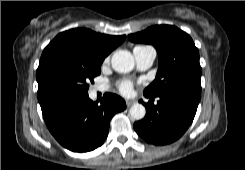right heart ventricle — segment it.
<instances>
[{"label": "right heart ventricle", "instance_id": "obj_1", "mask_svg": "<svg viewBox=\"0 0 245 170\" xmlns=\"http://www.w3.org/2000/svg\"><path fill=\"white\" fill-rule=\"evenodd\" d=\"M137 47H145V46H137Z\"/></svg>", "mask_w": 245, "mask_h": 170}]
</instances>
